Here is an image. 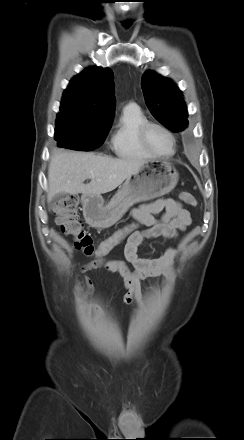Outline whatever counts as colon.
Wrapping results in <instances>:
<instances>
[{
  "label": "colon",
  "instance_id": "obj_1",
  "mask_svg": "<svg viewBox=\"0 0 244 440\" xmlns=\"http://www.w3.org/2000/svg\"><path fill=\"white\" fill-rule=\"evenodd\" d=\"M179 198L188 205L195 206L197 204L195 197L188 192L180 193ZM77 204L76 197H68L56 204L54 213L61 230L74 237V244L78 250L87 256L94 257V261L91 263L95 268L99 266H103L108 270L116 268L119 261L105 260V256L130 235L138 231L143 224L136 221L126 225L95 247L91 236L84 228L83 221L77 214Z\"/></svg>",
  "mask_w": 244,
  "mask_h": 440
}]
</instances>
